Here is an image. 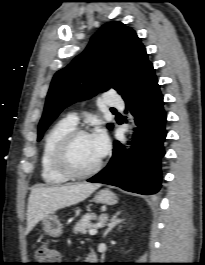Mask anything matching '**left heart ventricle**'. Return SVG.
Instances as JSON below:
<instances>
[{"label":"left heart ventricle","mask_w":205,"mask_h":265,"mask_svg":"<svg viewBox=\"0 0 205 265\" xmlns=\"http://www.w3.org/2000/svg\"><path fill=\"white\" fill-rule=\"evenodd\" d=\"M100 157L96 151L91 136H81L72 144L69 152V163L79 172L91 169Z\"/></svg>","instance_id":"obj_1"}]
</instances>
